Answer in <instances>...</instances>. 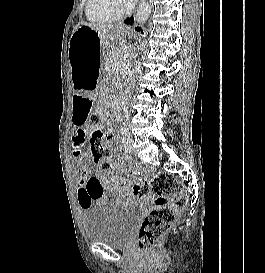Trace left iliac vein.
I'll return each mask as SVG.
<instances>
[{
    "instance_id": "1",
    "label": "left iliac vein",
    "mask_w": 265,
    "mask_h": 273,
    "mask_svg": "<svg viewBox=\"0 0 265 273\" xmlns=\"http://www.w3.org/2000/svg\"><path fill=\"white\" fill-rule=\"evenodd\" d=\"M125 151L132 152L133 140L130 136H125L122 140Z\"/></svg>"
}]
</instances>
